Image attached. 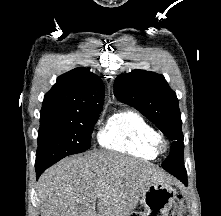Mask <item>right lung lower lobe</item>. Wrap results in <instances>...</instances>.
Wrapping results in <instances>:
<instances>
[{
  "label": "right lung lower lobe",
  "mask_w": 221,
  "mask_h": 216,
  "mask_svg": "<svg viewBox=\"0 0 221 216\" xmlns=\"http://www.w3.org/2000/svg\"><path fill=\"white\" fill-rule=\"evenodd\" d=\"M48 165H44V166H36L35 170H36V177L37 179L40 177V175L43 173V171L48 168Z\"/></svg>",
  "instance_id": "98d812e1"
}]
</instances>
